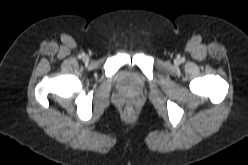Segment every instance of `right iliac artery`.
Masks as SVG:
<instances>
[{
	"instance_id": "1",
	"label": "right iliac artery",
	"mask_w": 248,
	"mask_h": 165,
	"mask_svg": "<svg viewBox=\"0 0 248 165\" xmlns=\"http://www.w3.org/2000/svg\"><path fill=\"white\" fill-rule=\"evenodd\" d=\"M83 56H84V54L80 55L79 57L81 58V57H83Z\"/></svg>"
}]
</instances>
